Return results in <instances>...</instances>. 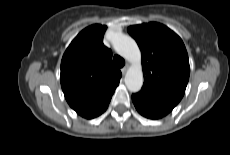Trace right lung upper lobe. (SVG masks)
Here are the masks:
<instances>
[{
	"mask_svg": "<svg viewBox=\"0 0 230 155\" xmlns=\"http://www.w3.org/2000/svg\"><path fill=\"white\" fill-rule=\"evenodd\" d=\"M106 29L95 24L82 30L61 61L60 81L65 98L72 109L87 119L107 109L122 75L112 63V51L103 44Z\"/></svg>",
	"mask_w": 230,
	"mask_h": 155,
	"instance_id": "1",
	"label": "right lung upper lobe"
}]
</instances>
